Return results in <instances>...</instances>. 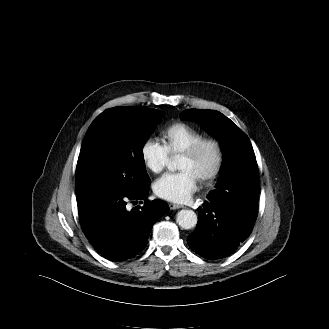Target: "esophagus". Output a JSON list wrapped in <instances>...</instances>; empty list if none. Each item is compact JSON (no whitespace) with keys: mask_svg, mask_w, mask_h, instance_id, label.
I'll return each mask as SVG.
<instances>
[{"mask_svg":"<svg viewBox=\"0 0 329 329\" xmlns=\"http://www.w3.org/2000/svg\"><path fill=\"white\" fill-rule=\"evenodd\" d=\"M182 207H183L182 205H178V204H175V203H170L169 204V208L171 210L179 209V208H182Z\"/></svg>","mask_w":329,"mask_h":329,"instance_id":"esophagus-1","label":"esophagus"}]
</instances>
